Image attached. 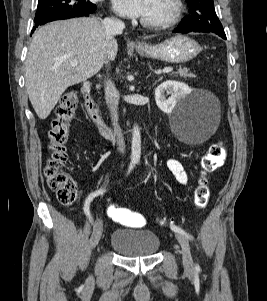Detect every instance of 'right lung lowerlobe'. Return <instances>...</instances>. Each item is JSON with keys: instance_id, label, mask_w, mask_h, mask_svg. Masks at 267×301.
I'll list each match as a JSON object with an SVG mask.
<instances>
[{"instance_id": "obj_1", "label": "right lung lower lobe", "mask_w": 267, "mask_h": 301, "mask_svg": "<svg viewBox=\"0 0 267 301\" xmlns=\"http://www.w3.org/2000/svg\"><path fill=\"white\" fill-rule=\"evenodd\" d=\"M94 11L90 12H82V13H69V12H63V13H54L51 15H48L45 18H42L38 21H35V27L33 28L32 32L35 30L36 27L39 25H43L47 22H51L54 20H60V19H69V18H74V17H81V16H88L89 14H92Z\"/></svg>"}]
</instances>
